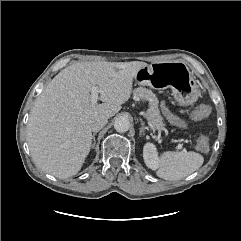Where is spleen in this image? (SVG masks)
Instances as JSON below:
<instances>
[{"label":"spleen","mask_w":241,"mask_h":241,"mask_svg":"<svg viewBox=\"0 0 241 241\" xmlns=\"http://www.w3.org/2000/svg\"><path fill=\"white\" fill-rule=\"evenodd\" d=\"M203 162V156L193 151H165L159 160L157 176L170 181L179 180L198 170Z\"/></svg>","instance_id":"1"}]
</instances>
